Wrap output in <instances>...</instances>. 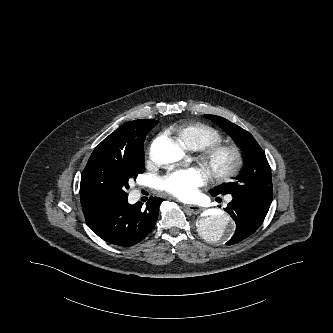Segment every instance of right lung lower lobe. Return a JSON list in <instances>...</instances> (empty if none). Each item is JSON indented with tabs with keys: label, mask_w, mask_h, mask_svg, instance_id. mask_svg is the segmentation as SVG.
Here are the masks:
<instances>
[{
	"label": "right lung lower lobe",
	"mask_w": 333,
	"mask_h": 333,
	"mask_svg": "<svg viewBox=\"0 0 333 333\" xmlns=\"http://www.w3.org/2000/svg\"><path fill=\"white\" fill-rule=\"evenodd\" d=\"M163 199L151 197L130 205L128 197L100 201L83 208L87 225L100 238L118 246H131L142 241L156 224Z\"/></svg>",
	"instance_id": "obj_1"
}]
</instances>
